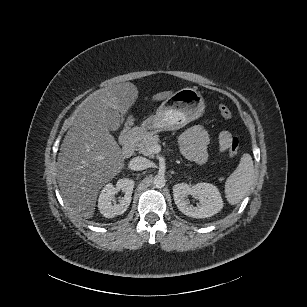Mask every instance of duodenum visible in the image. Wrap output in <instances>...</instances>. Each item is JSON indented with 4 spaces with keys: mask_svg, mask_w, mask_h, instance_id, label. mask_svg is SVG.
Here are the masks:
<instances>
[{
    "mask_svg": "<svg viewBox=\"0 0 307 307\" xmlns=\"http://www.w3.org/2000/svg\"><path fill=\"white\" fill-rule=\"evenodd\" d=\"M142 135H143L142 130L138 128L133 129L126 133L123 139V148H122L123 157L129 158L130 156H132L135 147L140 138L142 137Z\"/></svg>",
    "mask_w": 307,
    "mask_h": 307,
    "instance_id": "1",
    "label": "duodenum"
}]
</instances>
